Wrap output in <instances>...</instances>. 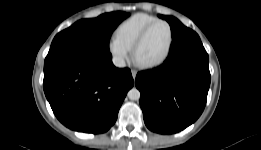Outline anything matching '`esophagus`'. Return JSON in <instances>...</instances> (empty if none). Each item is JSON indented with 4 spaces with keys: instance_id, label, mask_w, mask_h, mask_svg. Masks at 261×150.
<instances>
[{
    "instance_id": "esophagus-1",
    "label": "esophagus",
    "mask_w": 261,
    "mask_h": 150,
    "mask_svg": "<svg viewBox=\"0 0 261 150\" xmlns=\"http://www.w3.org/2000/svg\"><path fill=\"white\" fill-rule=\"evenodd\" d=\"M131 74H132L133 79H135L136 75H137V71L136 70H132Z\"/></svg>"
}]
</instances>
